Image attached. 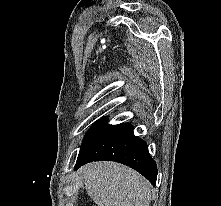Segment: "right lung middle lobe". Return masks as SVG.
Masks as SVG:
<instances>
[{
	"mask_svg": "<svg viewBox=\"0 0 221 206\" xmlns=\"http://www.w3.org/2000/svg\"><path fill=\"white\" fill-rule=\"evenodd\" d=\"M112 125L107 124V119H101L95 125H93L90 130L86 133L82 146L80 148V152L78 158L87 150V148L98 138L100 137L106 130H108Z\"/></svg>",
	"mask_w": 221,
	"mask_h": 206,
	"instance_id": "1",
	"label": "right lung middle lobe"
}]
</instances>
